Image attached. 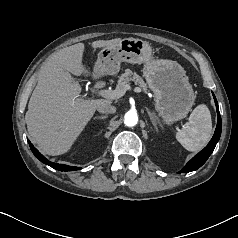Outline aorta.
<instances>
[{
  "label": "aorta",
  "mask_w": 238,
  "mask_h": 238,
  "mask_svg": "<svg viewBox=\"0 0 238 238\" xmlns=\"http://www.w3.org/2000/svg\"><path fill=\"white\" fill-rule=\"evenodd\" d=\"M138 122V115L135 111H128L124 116V123L128 127H133Z\"/></svg>",
  "instance_id": "aorta-1"
}]
</instances>
